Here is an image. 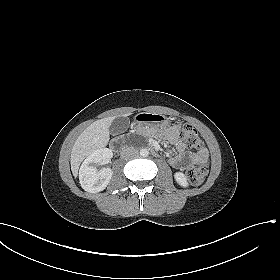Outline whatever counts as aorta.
<instances>
[{"mask_svg":"<svg viewBox=\"0 0 280 280\" xmlns=\"http://www.w3.org/2000/svg\"><path fill=\"white\" fill-rule=\"evenodd\" d=\"M140 155H141L142 157H147V156L149 155L148 149H146V148L141 149V150H140Z\"/></svg>","mask_w":280,"mask_h":280,"instance_id":"obj_1","label":"aorta"}]
</instances>
